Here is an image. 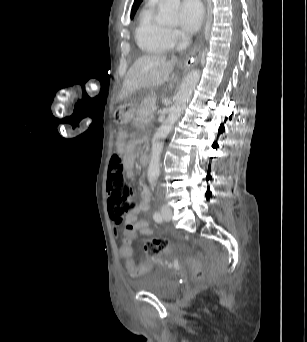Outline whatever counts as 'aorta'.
<instances>
[{"label": "aorta", "mask_w": 307, "mask_h": 342, "mask_svg": "<svg viewBox=\"0 0 307 342\" xmlns=\"http://www.w3.org/2000/svg\"><path fill=\"white\" fill-rule=\"evenodd\" d=\"M180 0H160L159 4V20L166 26H178L180 24ZM200 80L199 70H192L182 80V84L175 96V102L170 108V112L164 124L158 128L151 146V160L148 166L149 178H158L160 174V158L163 150V140L170 134L173 124L180 118L183 110L188 104L193 90H195Z\"/></svg>", "instance_id": "obj_1"}]
</instances>
